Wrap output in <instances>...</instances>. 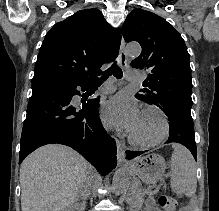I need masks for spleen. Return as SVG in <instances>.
Segmentation results:
<instances>
[{
    "mask_svg": "<svg viewBox=\"0 0 219 211\" xmlns=\"http://www.w3.org/2000/svg\"><path fill=\"white\" fill-rule=\"evenodd\" d=\"M174 151L171 155V189L181 195L192 197L196 191L195 161L187 147L181 143H173Z\"/></svg>",
    "mask_w": 219,
    "mask_h": 211,
    "instance_id": "obj_1",
    "label": "spleen"
}]
</instances>
